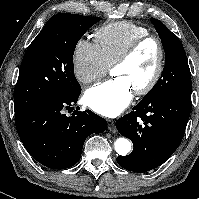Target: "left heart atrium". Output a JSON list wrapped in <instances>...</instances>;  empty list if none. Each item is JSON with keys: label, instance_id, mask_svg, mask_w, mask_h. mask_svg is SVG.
Here are the masks:
<instances>
[{"label": "left heart atrium", "instance_id": "obj_1", "mask_svg": "<svg viewBox=\"0 0 199 199\" xmlns=\"http://www.w3.org/2000/svg\"><path fill=\"white\" fill-rule=\"evenodd\" d=\"M86 105L96 113L115 117L121 114L132 100V89L122 77L89 88L84 95Z\"/></svg>", "mask_w": 199, "mask_h": 199}]
</instances>
